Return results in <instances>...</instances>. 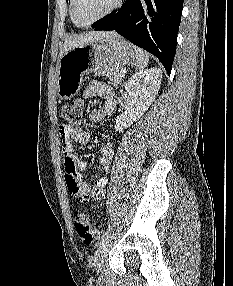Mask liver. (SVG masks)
Masks as SVG:
<instances>
[{
  "mask_svg": "<svg viewBox=\"0 0 233 286\" xmlns=\"http://www.w3.org/2000/svg\"><path fill=\"white\" fill-rule=\"evenodd\" d=\"M111 36H118V35L115 32H110V31H91L84 35L74 36L73 38H70L69 40L65 41L64 48L60 53V57L71 48L84 45L90 42L98 41L101 38L111 37Z\"/></svg>",
  "mask_w": 233,
  "mask_h": 286,
  "instance_id": "liver-1",
  "label": "liver"
}]
</instances>
